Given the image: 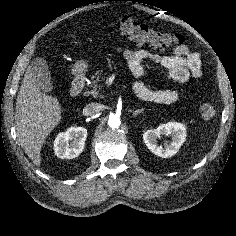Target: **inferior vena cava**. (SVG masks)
Wrapping results in <instances>:
<instances>
[{
	"label": "inferior vena cava",
	"mask_w": 236,
	"mask_h": 236,
	"mask_svg": "<svg viewBox=\"0 0 236 236\" xmlns=\"http://www.w3.org/2000/svg\"><path fill=\"white\" fill-rule=\"evenodd\" d=\"M103 110V106L99 103H89L83 109V114L85 116L95 115Z\"/></svg>",
	"instance_id": "obj_1"
}]
</instances>
